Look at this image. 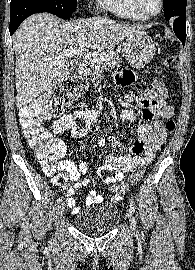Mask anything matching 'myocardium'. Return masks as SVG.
<instances>
[{
	"instance_id": "myocardium-1",
	"label": "myocardium",
	"mask_w": 195,
	"mask_h": 270,
	"mask_svg": "<svg viewBox=\"0 0 195 270\" xmlns=\"http://www.w3.org/2000/svg\"><path fill=\"white\" fill-rule=\"evenodd\" d=\"M131 1V5H132V7L139 13V14H141L144 18H152V17H155V16H157L158 14H160V12L162 11V9H163V0H158V4H159V6H158V9L155 11V12H153V13H146V12H144L142 9H141V7H140V5H139V3H138V0H130Z\"/></svg>"
}]
</instances>
